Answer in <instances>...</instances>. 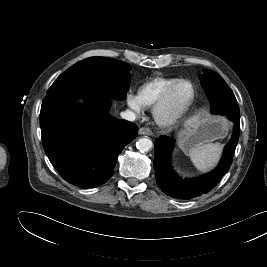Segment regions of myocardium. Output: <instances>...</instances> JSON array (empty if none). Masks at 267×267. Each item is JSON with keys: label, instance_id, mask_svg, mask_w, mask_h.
I'll return each mask as SVG.
<instances>
[{"label": "myocardium", "instance_id": "obj_1", "mask_svg": "<svg viewBox=\"0 0 267 267\" xmlns=\"http://www.w3.org/2000/svg\"><path fill=\"white\" fill-rule=\"evenodd\" d=\"M181 84H188L191 88V95L189 100L186 102V104L181 108V110L173 115V116H164L162 111L164 109V107L168 104L174 90ZM195 98V87L192 84V82H190L189 80L186 79H179L178 81H176L175 83H173L172 85H170L163 93L162 95L158 98V100L154 103L153 106V116L154 119L156 120V122L164 127H174L177 126L178 124L181 123V121L183 120L184 116L186 115V113L188 112L189 108L191 107L193 101Z\"/></svg>", "mask_w": 267, "mask_h": 267}]
</instances>
